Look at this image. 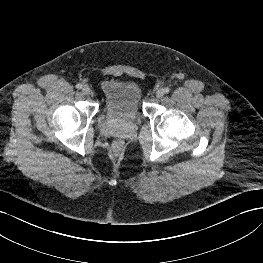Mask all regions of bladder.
Instances as JSON below:
<instances>
[{
	"instance_id": "31cf9c89",
	"label": "bladder",
	"mask_w": 263,
	"mask_h": 263,
	"mask_svg": "<svg viewBox=\"0 0 263 263\" xmlns=\"http://www.w3.org/2000/svg\"><path fill=\"white\" fill-rule=\"evenodd\" d=\"M103 112L107 121L118 125L134 123L140 115L142 89L133 79L108 78L102 81Z\"/></svg>"
}]
</instances>
